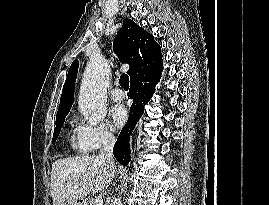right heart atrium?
Segmentation results:
<instances>
[{
  "instance_id": "obj_1",
  "label": "right heart atrium",
  "mask_w": 269,
  "mask_h": 205,
  "mask_svg": "<svg viewBox=\"0 0 269 205\" xmlns=\"http://www.w3.org/2000/svg\"><path fill=\"white\" fill-rule=\"evenodd\" d=\"M75 133L78 143L88 151L98 150L115 139L113 132L104 123L98 126L78 125Z\"/></svg>"
}]
</instances>
